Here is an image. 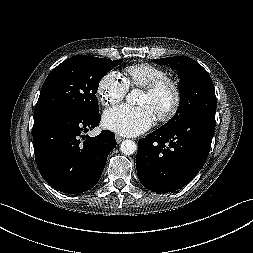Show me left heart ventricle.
<instances>
[{
    "instance_id": "left-heart-ventricle-1",
    "label": "left heart ventricle",
    "mask_w": 253,
    "mask_h": 253,
    "mask_svg": "<svg viewBox=\"0 0 253 253\" xmlns=\"http://www.w3.org/2000/svg\"><path fill=\"white\" fill-rule=\"evenodd\" d=\"M169 100V95L166 93L161 95L158 99H153L150 95L144 92L140 99V104L150 106L156 114L159 109H162L168 105Z\"/></svg>"
}]
</instances>
